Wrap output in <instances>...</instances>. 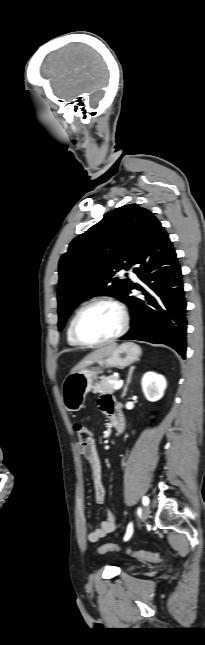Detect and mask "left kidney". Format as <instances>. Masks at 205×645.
I'll return each mask as SVG.
<instances>
[{"instance_id": "left-kidney-1", "label": "left kidney", "mask_w": 205, "mask_h": 645, "mask_svg": "<svg viewBox=\"0 0 205 645\" xmlns=\"http://www.w3.org/2000/svg\"><path fill=\"white\" fill-rule=\"evenodd\" d=\"M141 385L146 399L154 402L163 397L167 382L164 376L155 372H147L142 377Z\"/></svg>"}]
</instances>
